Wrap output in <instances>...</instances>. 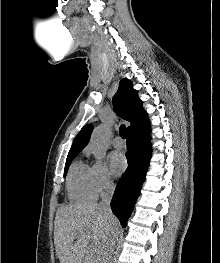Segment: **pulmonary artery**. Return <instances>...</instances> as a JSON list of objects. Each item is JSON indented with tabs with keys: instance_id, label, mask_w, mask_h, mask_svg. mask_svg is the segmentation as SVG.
<instances>
[{
	"instance_id": "pulmonary-artery-1",
	"label": "pulmonary artery",
	"mask_w": 220,
	"mask_h": 263,
	"mask_svg": "<svg viewBox=\"0 0 220 263\" xmlns=\"http://www.w3.org/2000/svg\"><path fill=\"white\" fill-rule=\"evenodd\" d=\"M113 146L115 148H122L124 146V142L122 141V139L120 137H116L114 140H113Z\"/></svg>"
}]
</instances>
